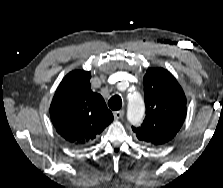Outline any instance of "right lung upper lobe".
Masks as SVG:
<instances>
[{"label": "right lung upper lobe", "mask_w": 223, "mask_h": 188, "mask_svg": "<svg viewBox=\"0 0 223 188\" xmlns=\"http://www.w3.org/2000/svg\"><path fill=\"white\" fill-rule=\"evenodd\" d=\"M90 78L87 71L68 73L50 106V117L56 131L76 146L95 139L113 120L102 96L90 89Z\"/></svg>", "instance_id": "1"}]
</instances>
